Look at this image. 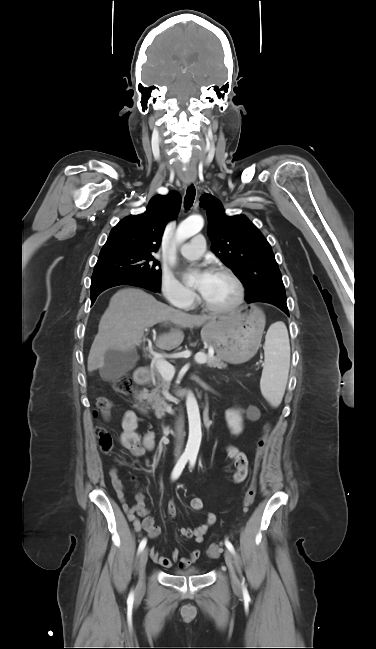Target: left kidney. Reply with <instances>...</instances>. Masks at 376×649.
Segmentation results:
<instances>
[{"instance_id":"5707ae66","label":"left kidney","mask_w":376,"mask_h":649,"mask_svg":"<svg viewBox=\"0 0 376 649\" xmlns=\"http://www.w3.org/2000/svg\"><path fill=\"white\" fill-rule=\"evenodd\" d=\"M226 421L233 434H239L242 431V417L239 411L227 410Z\"/></svg>"}]
</instances>
